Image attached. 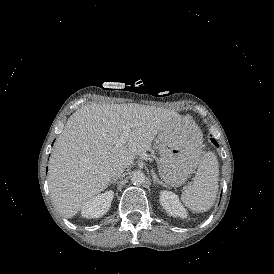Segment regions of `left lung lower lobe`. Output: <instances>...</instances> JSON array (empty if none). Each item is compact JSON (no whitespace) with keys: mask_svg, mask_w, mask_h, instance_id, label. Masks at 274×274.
I'll use <instances>...</instances> for the list:
<instances>
[{"mask_svg":"<svg viewBox=\"0 0 274 274\" xmlns=\"http://www.w3.org/2000/svg\"><path fill=\"white\" fill-rule=\"evenodd\" d=\"M211 141H212L215 145L218 146V144H217V142L215 141V139L212 138Z\"/></svg>","mask_w":274,"mask_h":274,"instance_id":"1","label":"left lung lower lobe"}]
</instances>
